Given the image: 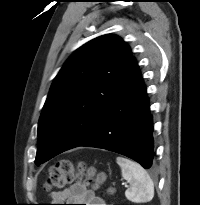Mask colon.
<instances>
[{"instance_id": "1", "label": "colon", "mask_w": 200, "mask_h": 205, "mask_svg": "<svg viewBox=\"0 0 200 205\" xmlns=\"http://www.w3.org/2000/svg\"><path fill=\"white\" fill-rule=\"evenodd\" d=\"M74 181H83L98 189L104 183L105 175L83 162L75 167L72 162L61 160L49 168L45 188L46 190L60 189ZM108 192L112 193L113 189L109 188Z\"/></svg>"}]
</instances>
